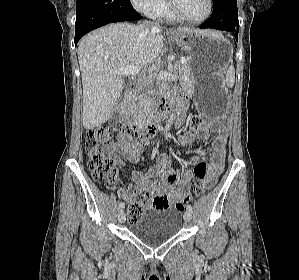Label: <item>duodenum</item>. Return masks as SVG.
Returning a JSON list of instances; mask_svg holds the SVG:
<instances>
[{"label":"duodenum","instance_id":"obj_1","mask_svg":"<svg viewBox=\"0 0 299 280\" xmlns=\"http://www.w3.org/2000/svg\"><path fill=\"white\" fill-rule=\"evenodd\" d=\"M134 97L135 93L133 91H129L125 95L122 104V127L134 139L140 141L151 139L158 133L161 121L168 111L173 110L177 119L185 106V104L182 101H178L175 96H170L160 103L158 111L152 120L146 124H140L134 122L130 116V106Z\"/></svg>","mask_w":299,"mask_h":280}]
</instances>
